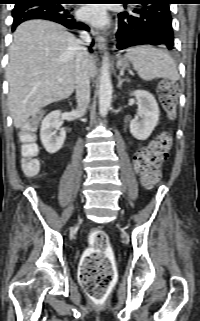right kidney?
<instances>
[{
	"instance_id": "1",
	"label": "right kidney",
	"mask_w": 200,
	"mask_h": 321,
	"mask_svg": "<svg viewBox=\"0 0 200 321\" xmlns=\"http://www.w3.org/2000/svg\"><path fill=\"white\" fill-rule=\"evenodd\" d=\"M61 111L56 110L49 113L41 123L40 138L41 142L50 154L59 151L65 141L66 131L61 128ZM59 133L57 134V132Z\"/></svg>"
}]
</instances>
